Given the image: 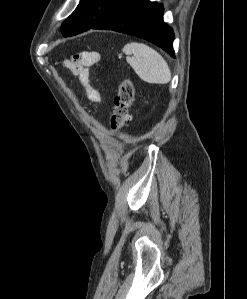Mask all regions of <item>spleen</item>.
<instances>
[{
  "mask_svg": "<svg viewBox=\"0 0 247 299\" xmlns=\"http://www.w3.org/2000/svg\"><path fill=\"white\" fill-rule=\"evenodd\" d=\"M122 52L127 55V62L143 81L166 84L171 80L167 62L148 45L131 42L123 47Z\"/></svg>",
  "mask_w": 247,
  "mask_h": 299,
  "instance_id": "spleen-1",
  "label": "spleen"
}]
</instances>
